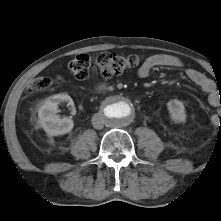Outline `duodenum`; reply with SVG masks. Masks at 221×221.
<instances>
[{"label":"duodenum","instance_id":"410a0bca","mask_svg":"<svg viewBox=\"0 0 221 221\" xmlns=\"http://www.w3.org/2000/svg\"><path fill=\"white\" fill-rule=\"evenodd\" d=\"M103 87H104V86L99 85V86L97 87V89L102 90V89H103Z\"/></svg>","mask_w":221,"mask_h":221}]
</instances>
